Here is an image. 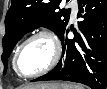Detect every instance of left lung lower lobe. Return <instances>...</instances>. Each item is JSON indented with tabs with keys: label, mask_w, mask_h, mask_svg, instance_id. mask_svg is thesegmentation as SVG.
<instances>
[{
	"label": "left lung lower lobe",
	"mask_w": 107,
	"mask_h": 89,
	"mask_svg": "<svg viewBox=\"0 0 107 89\" xmlns=\"http://www.w3.org/2000/svg\"><path fill=\"white\" fill-rule=\"evenodd\" d=\"M80 34L67 39L69 29L60 36L63 59L49 73L33 80H66L92 89L107 85V0H79Z\"/></svg>",
	"instance_id": "0a47b994"
}]
</instances>
